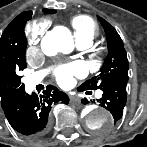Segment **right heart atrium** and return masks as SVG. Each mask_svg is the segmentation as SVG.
Segmentation results:
<instances>
[{
  "label": "right heart atrium",
  "instance_id": "right-heart-atrium-1",
  "mask_svg": "<svg viewBox=\"0 0 147 147\" xmlns=\"http://www.w3.org/2000/svg\"><path fill=\"white\" fill-rule=\"evenodd\" d=\"M45 27L42 23H34L29 27L30 47L28 54L33 55L39 51V42L43 36Z\"/></svg>",
  "mask_w": 147,
  "mask_h": 147
}]
</instances>
